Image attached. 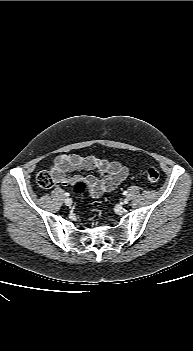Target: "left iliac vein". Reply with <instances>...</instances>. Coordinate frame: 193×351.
I'll return each instance as SVG.
<instances>
[{"label":"left iliac vein","mask_w":193,"mask_h":351,"mask_svg":"<svg viewBox=\"0 0 193 351\" xmlns=\"http://www.w3.org/2000/svg\"><path fill=\"white\" fill-rule=\"evenodd\" d=\"M127 203H128V199H124L123 204H127Z\"/></svg>","instance_id":"4c4485c4"}]
</instances>
